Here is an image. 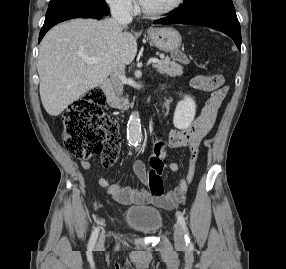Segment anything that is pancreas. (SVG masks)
Listing matches in <instances>:
<instances>
[{"label":"pancreas","mask_w":286,"mask_h":269,"mask_svg":"<svg viewBox=\"0 0 286 269\" xmlns=\"http://www.w3.org/2000/svg\"><path fill=\"white\" fill-rule=\"evenodd\" d=\"M154 67L159 73L167 74L171 77L181 76L183 73V67L175 61H171L168 57L161 59L159 63L154 64Z\"/></svg>","instance_id":"pancreas-1"}]
</instances>
